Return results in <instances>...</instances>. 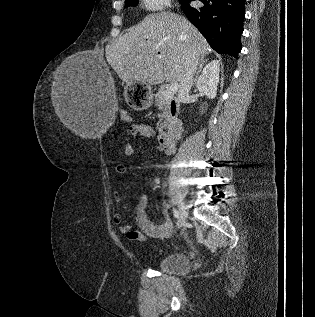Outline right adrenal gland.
Wrapping results in <instances>:
<instances>
[{
	"label": "right adrenal gland",
	"mask_w": 315,
	"mask_h": 317,
	"mask_svg": "<svg viewBox=\"0 0 315 317\" xmlns=\"http://www.w3.org/2000/svg\"><path fill=\"white\" fill-rule=\"evenodd\" d=\"M207 61H208V59L205 58V56H202V57H201L200 63H199V68H198V71H197V73H196V76H195L193 85H196V81H197L198 75H199V73L201 72L204 63H207Z\"/></svg>",
	"instance_id": "right-adrenal-gland-1"
}]
</instances>
